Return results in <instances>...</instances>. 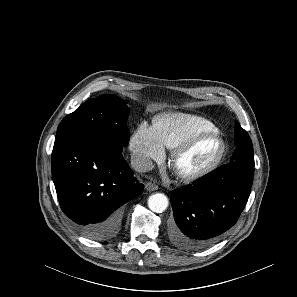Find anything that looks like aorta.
<instances>
[{"label":"aorta","instance_id":"aorta-1","mask_svg":"<svg viewBox=\"0 0 297 297\" xmlns=\"http://www.w3.org/2000/svg\"><path fill=\"white\" fill-rule=\"evenodd\" d=\"M148 206L156 213H162L168 207V198L162 193H156L149 197Z\"/></svg>","mask_w":297,"mask_h":297}]
</instances>
